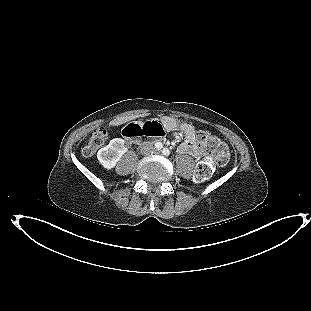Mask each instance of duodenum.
Listing matches in <instances>:
<instances>
[{
	"mask_svg": "<svg viewBox=\"0 0 311 311\" xmlns=\"http://www.w3.org/2000/svg\"><path fill=\"white\" fill-rule=\"evenodd\" d=\"M127 138L133 143H140L143 138L152 139L153 137H157L151 133V131L147 130L146 133L143 132L142 129L131 130L129 133H126Z\"/></svg>",
	"mask_w": 311,
	"mask_h": 311,
	"instance_id": "obj_1",
	"label": "duodenum"
}]
</instances>
